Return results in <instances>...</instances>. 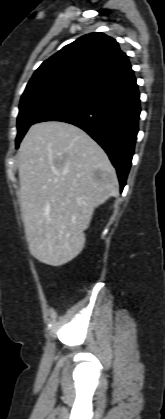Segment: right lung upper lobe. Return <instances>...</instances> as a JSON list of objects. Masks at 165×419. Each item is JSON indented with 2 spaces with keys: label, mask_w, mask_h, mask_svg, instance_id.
<instances>
[{
  "label": "right lung upper lobe",
  "mask_w": 165,
  "mask_h": 419,
  "mask_svg": "<svg viewBox=\"0 0 165 419\" xmlns=\"http://www.w3.org/2000/svg\"><path fill=\"white\" fill-rule=\"evenodd\" d=\"M131 71L128 56L120 50L115 39L103 33H91L44 61L33 74L24 93L52 86L90 93Z\"/></svg>",
  "instance_id": "right-lung-upper-lobe-1"
}]
</instances>
